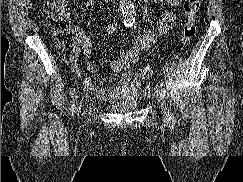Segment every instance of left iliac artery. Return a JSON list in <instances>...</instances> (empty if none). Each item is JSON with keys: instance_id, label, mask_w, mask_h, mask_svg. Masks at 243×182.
<instances>
[{"instance_id": "44dca946", "label": "left iliac artery", "mask_w": 243, "mask_h": 182, "mask_svg": "<svg viewBox=\"0 0 243 182\" xmlns=\"http://www.w3.org/2000/svg\"><path fill=\"white\" fill-rule=\"evenodd\" d=\"M160 87H161V93L163 94V96H165L166 90H165L164 84L161 83ZM168 115H169V121L171 123H174V121H175L174 120V115H173V113H172V111L170 109L168 110Z\"/></svg>"}]
</instances>
